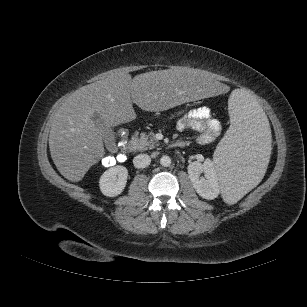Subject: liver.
Segmentation results:
<instances>
[{
	"label": "liver",
	"mask_w": 307,
	"mask_h": 307,
	"mask_svg": "<svg viewBox=\"0 0 307 307\" xmlns=\"http://www.w3.org/2000/svg\"><path fill=\"white\" fill-rule=\"evenodd\" d=\"M227 87L203 70L187 67L131 75L116 71L83 86L61 103L49 134L50 154L58 171L72 182L82 180L105 154L103 134L92 120L97 113L108 126L132 121V103L145 111H164L216 94Z\"/></svg>",
	"instance_id": "1"
}]
</instances>
